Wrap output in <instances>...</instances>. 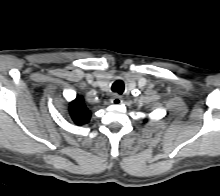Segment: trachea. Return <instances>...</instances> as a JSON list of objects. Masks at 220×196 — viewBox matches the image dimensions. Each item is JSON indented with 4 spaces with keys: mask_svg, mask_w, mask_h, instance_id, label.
Masks as SVG:
<instances>
[{
    "mask_svg": "<svg viewBox=\"0 0 220 196\" xmlns=\"http://www.w3.org/2000/svg\"><path fill=\"white\" fill-rule=\"evenodd\" d=\"M112 91L117 94H122L124 92V83L122 80H117L113 83L111 87Z\"/></svg>",
    "mask_w": 220,
    "mask_h": 196,
    "instance_id": "trachea-1",
    "label": "trachea"
}]
</instances>
